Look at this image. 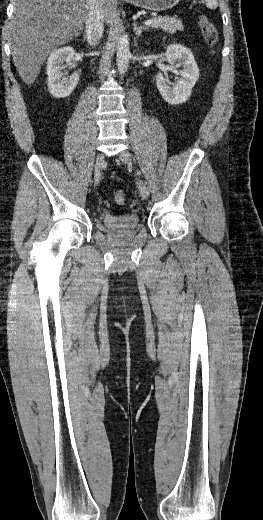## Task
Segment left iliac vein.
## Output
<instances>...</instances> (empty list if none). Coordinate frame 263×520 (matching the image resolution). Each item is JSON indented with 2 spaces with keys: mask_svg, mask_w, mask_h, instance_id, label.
<instances>
[{
  "mask_svg": "<svg viewBox=\"0 0 263 520\" xmlns=\"http://www.w3.org/2000/svg\"><path fill=\"white\" fill-rule=\"evenodd\" d=\"M119 157H120L121 161L124 162L125 164L132 165V156H131L130 152H128L127 150L122 151L119 154ZM138 189H139L140 195L143 199H147L149 197V189L144 181L139 180Z\"/></svg>",
  "mask_w": 263,
  "mask_h": 520,
  "instance_id": "left-iliac-vein-1",
  "label": "left iliac vein"
}]
</instances>
